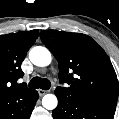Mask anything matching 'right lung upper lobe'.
Returning <instances> with one entry per match:
<instances>
[{"label":"right lung upper lobe","mask_w":119,"mask_h":119,"mask_svg":"<svg viewBox=\"0 0 119 119\" xmlns=\"http://www.w3.org/2000/svg\"><path fill=\"white\" fill-rule=\"evenodd\" d=\"M37 37V30L0 35V103L33 90L16 82L24 75L21 63Z\"/></svg>","instance_id":"right-lung-upper-lobe-1"}]
</instances>
